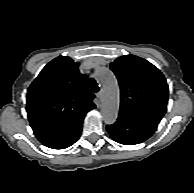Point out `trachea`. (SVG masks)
Returning a JSON list of instances; mask_svg holds the SVG:
<instances>
[{
    "instance_id": "1",
    "label": "trachea",
    "mask_w": 194,
    "mask_h": 193,
    "mask_svg": "<svg viewBox=\"0 0 194 193\" xmlns=\"http://www.w3.org/2000/svg\"><path fill=\"white\" fill-rule=\"evenodd\" d=\"M88 87L92 92H98L99 91V86L94 78H90L88 81Z\"/></svg>"
}]
</instances>
